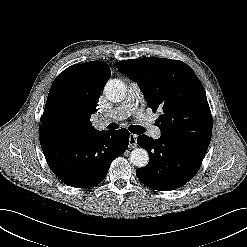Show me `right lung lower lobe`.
<instances>
[{
    "instance_id": "obj_1",
    "label": "right lung lower lobe",
    "mask_w": 247,
    "mask_h": 247,
    "mask_svg": "<svg viewBox=\"0 0 247 247\" xmlns=\"http://www.w3.org/2000/svg\"><path fill=\"white\" fill-rule=\"evenodd\" d=\"M39 138L53 173L69 186L89 188L101 183L111 162L127 150L129 132L122 128L73 138L39 129Z\"/></svg>"
}]
</instances>
